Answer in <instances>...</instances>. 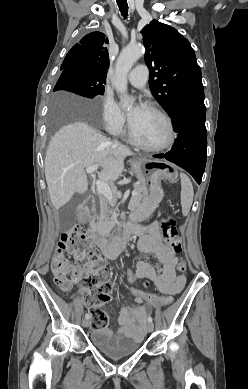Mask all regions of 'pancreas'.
I'll use <instances>...</instances> for the list:
<instances>
[{
	"instance_id": "cf45deb5",
	"label": "pancreas",
	"mask_w": 248,
	"mask_h": 389,
	"mask_svg": "<svg viewBox=\"0 0 248 389\" xmlns=\"http://www.w3.org/2000/svg\"><path fill=\"white\" fill-rule=\"evenodd\" d=\"M143 190L144 187L141 184H134V191H136L137 194L132 196L130 200L129 207L131 210H135L140 205ZM109 212L111 213L112 211ZM97 220L98 221L94 225L93 230L99 237L106 238L112 229V223L106 216L103 208H101L100 213L97 215Z\"/></svg>"
}]
</instances>
